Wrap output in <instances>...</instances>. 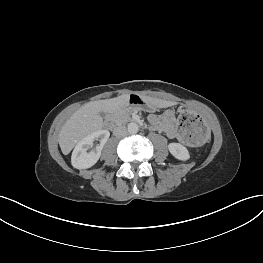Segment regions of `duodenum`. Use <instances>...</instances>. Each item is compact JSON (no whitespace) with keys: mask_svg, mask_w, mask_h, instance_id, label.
Listing matches in <instances>:
<instances>
[{"mask_svg":"<svg viewBox=\"0 0 263 263\" xmlns=\"http://www.w3.org/2000/svg\"><path fill=\"white\" fill-rule=\"evenodd\" d=\"M105 124L108 128H113L115 126V121L112 115L106 117Z\"/></svg>","mask_w":263,"mask_h":263,"instance_id":"410a0bca","label":"duodenum"}]
</instances>
